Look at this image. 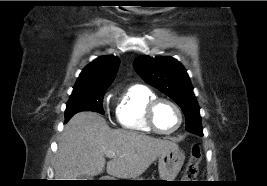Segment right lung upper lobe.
Here are the masks:
<instances>
[{"mask_svg": "<svg viewBox=\"0 0 267 186\" xmlns=\"http://www.w3.org/2000/svg\"><path fill=\"white\" fill-rule=\"evenodd\" d=\"M120 59L116 56H101L91 62L80 73L74 91L107 88L118 70Z\"/></svg>", "mask_w": 267, "mask_h": 186, "instance_id": "cb5924a9", "label": "right lung upper lobe"}]
</instances>
